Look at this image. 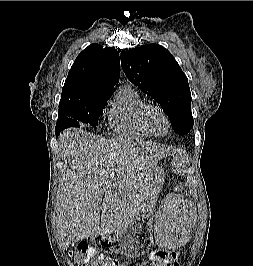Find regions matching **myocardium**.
Returning <instances> with one entry per match:
<instances>
[{"label": "myocardium", "mask_w": 253, "mask_h": 266, "mask_svg": "<svg viewBox=\"0 0 253 266\" xmlns=\"http://www.w3.org/2000/svg\"><path fill=\"white\" fill-rule=\"evenodd\" d=\"M154 110L159 111V112L163 115V117L165 118V120H166V122H167V131H166V133L163 134V135H157V134L153 131V129H152L150 123H149V115H150V113H151L152 111H154ZM141 118H142L143 126L145 127V129L147 130V132H148L151 136H153V137H156V138H162V137L166 136L167 133H168L169 130H170L171 123H170L169 116L167 115L166 111H165L162 107H160L159 105H154V104L146 105V106L144 107V109H143L142 117H141Z\"/></svg>", "instance_id": "myocardium-1"}]
</instances>
